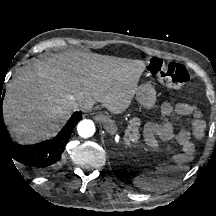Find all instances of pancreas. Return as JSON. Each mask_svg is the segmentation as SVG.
I'll return each mask as SVG.
<instances>
[{
  "label": "pancreas",
  "instance_id": "obj_1",
  "mask_svg": "<svg viewBox=\"0 0 216 216\" xmlns=\"http://www.w3.org/2000/svg\"><path fill=\"white\" fill-rule=\"evenodd\" d=\"M126 137H127V144L130 147H134V145L131 142H133L134 144H138V142L140 140L138 128L136 126H134L133 128L129 129L126 132Z\"/></svg>",
  "mask_w": 216,
  "mask_h": 216
}]
</instances>
